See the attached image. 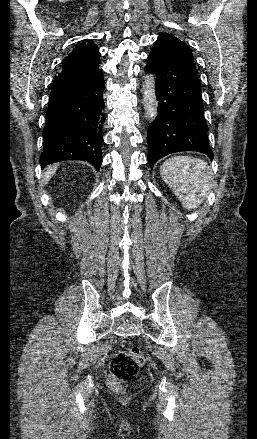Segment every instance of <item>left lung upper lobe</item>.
I'll return each mask as SVG.
<instances>
[{
  "mask_svg": "<svg viewBox=\"0 0 257 439\" xmlns=\"http://www.w3.org/2000/svg\"><path fill=\"white\" fill-rule=\"evenodd\" d=\"M158 39H163V40H168L171 41L173 44H176L177 46H179L187 55L188 57L193 61V55L190 51V49L188 48V46H186L184 44V42L180 41L177 37L171 35V34H167L164 33L162 35H160L158 37Z\"/></svg>",
  "mask_w": 257,
  "mask_h": 439,
  "instance_id": "obj_1",
  "label": "left lung upper lobe"
}]
</instances>
